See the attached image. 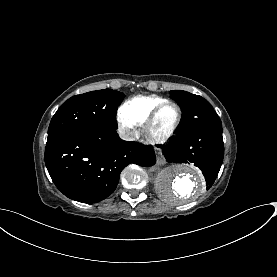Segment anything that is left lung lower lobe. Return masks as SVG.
I'll return each instance as SVG.
<instances>
[{
  "instance_id": "1",
  "label": "left lung lower lobe",
  "mask_w": 277,
  "mask_h": 277,
  "mask_svg": "<svg viewBox=\"0 0 277 277\" xmlns=\"http://www.w3.org/2000/svg\"><path fill=\"white\" fill-rule=\"evenodd\" d=\"M159 147L169 163H193L198 167L203 172L209 189L223 161L222 126H208L187 133H178L168 144Z\"/></svg>"
}]
</instances>
